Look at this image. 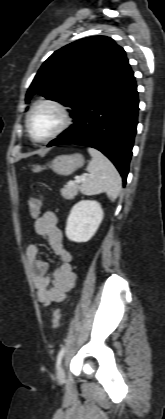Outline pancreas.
<instances>
[{"instance_id":"obj_1","label":"pancreas","mask_w":165,"mask_h":419,"mask_svg":"<svg viewBox=\"0 0 165 419\" xmlns=\"http://www.w3.org/2000/svg\"><path fill=\"white\" fill-rule=\"evenodd\" d=\"M80 187L77 183L66 184L64 188L61 189V195L67 199L72 200L77 196Z\"/></svg>"}]
</instances>
